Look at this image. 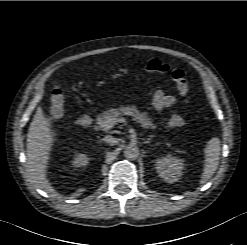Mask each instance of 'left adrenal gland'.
I'll return each instance as SVG.
<instances>
[{"label":"left adrenal gland","instance_id":"a2214340","mask_svg":"<svg viewBox=\"0 0 247 245\" xmlns=\"http://www.w3.org/2000/svg\"><path fill=\"white\" fill-rule=\"evenodd\" d=\"M153 135L150 136V138H148L147 140H144V143L147 144V143H150V141L153 139Z\"/></svg>","mask_w":247,"mask_h":245}]
</instances>
